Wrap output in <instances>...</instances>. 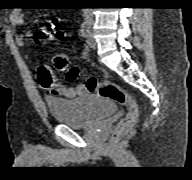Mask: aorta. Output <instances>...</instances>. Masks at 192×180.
<instances>
[{
  "label": "aorta",
  "mask_w": 192,
  "mask_h": 180,
  "mask_svg": "<svg viewBox=\"0 0 192 180\" xmlns=\"http://www.w3.org/2000/svg\"><path fill=\"white\" fill-rule=\"evenodd\" d=\"M85 13H86L87 16H90V8H86Z\"/></svg>",
  "instance_id": "1"
}]
</instances>
